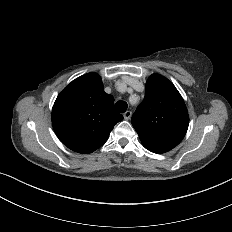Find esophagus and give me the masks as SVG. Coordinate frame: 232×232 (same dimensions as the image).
Wrapping results in <instances>:
<instances>
[{
  "instance_id": "34e87169",
  "label": "esophagus",
  "mask_w": 232,
  "mask_h": 232,
  "mask_svg": "<svg viewBox=\"0 0 232 232\" xmlns=\"http://www.w3.org/2000/svg\"><path fill=\"white\" fill-rule=\"evenodd\" d=\"M132 115V112L131 111H126L124 114H123V117L125 120H129L130 117Z\"/></svg>"
}]
</instances>
